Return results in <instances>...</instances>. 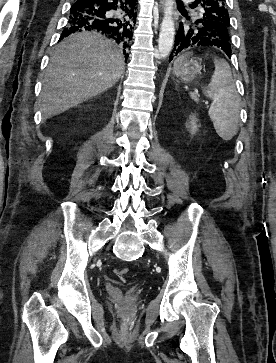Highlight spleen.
Listing matches in <instances>:
<instances>
[{
    "mask_svg": "<svg viewBox=\"0 0 276 363\" xmlns=\"http://www.w3.org/2000/svg\"><path fill=\"white\" fill-rule=\"evenodd\" d=\"M187 55L179 57L174 63V69H178ZM215 70L203 93L213 101L208 114L213 122L216 133L225 141L231 140L238 132L240 99L237 93L232 71L226 60L214 57ZM181 76V73H177ZM184 81L187 78L182 76ZM190 97L198 101L195 93L190 92Z\"/></svg>",
    "mask_w": 276,
    "mask_h": 363,
    "instance_id": "3e777b00",
    "label": "spleen"
}]
</instances>
